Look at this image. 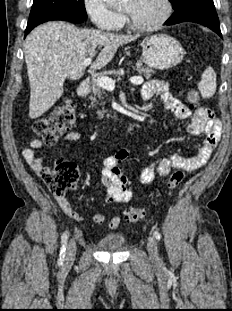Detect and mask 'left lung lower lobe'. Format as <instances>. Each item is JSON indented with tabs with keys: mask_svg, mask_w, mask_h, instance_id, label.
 I'll return each mask as SVG.
<instances>
[{
	"mask_svg": "<svg viewBox=\"0 0 232 311\" xmlns=\"http://www.w3.org/2000/svg\"><path fill=\"white\" fill-rule=\"evenodd\" d=\"M194 22L207 26L222 37L213 0H185L174 9L173 15L164 23L173 25Z\"/></svg>",
	"mask_w": 232,
	"mask_h": 311,
	"instance_id": "left-lung-lower-lobe-1",
	"label": "left lung lower lobe"
}]
</instances>
